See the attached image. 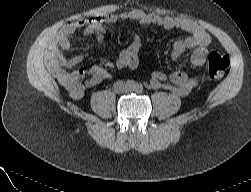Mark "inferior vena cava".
<instances>
[{
	"label": "inferior vena cava",
	"mask_w": 251,
	"mask_h": 192,
	"mask_svg": "<svg viewBox=\"0 0 251 192\" xmlns=\"http://www.w3.org/2000/svg\"><path fill=\"white\" fill-rule=\"evenodd\" d=\"M121 85V88H119L118 86ZM127 88L125 86V83H123V81H118L114 84V91L115 92H123L125 91Z\"/></svg>",
	"instance_id": "602c4592"
}]
</instances>
